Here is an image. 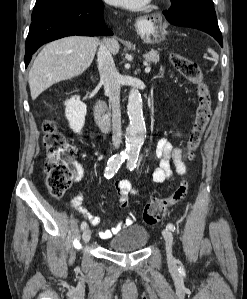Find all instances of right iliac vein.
Segmentation results:
<instances>
[{
  "label": "right iliac vein",
  "mask_w": 247,
  "mask_h": 299,
  "mask_svg": "<svg viewBox=\"0 0 247 299\" xmlns=\"http://www.w3.org/2000/svg\"><path fill=\"white\" fill-rule=\"evenodd\" d=\"M90 238H91V230L87 228L83 231L82 240L84 243H88Z\"/></svg>",
  "instance_id": "63e3f726"
}]
</instances>
